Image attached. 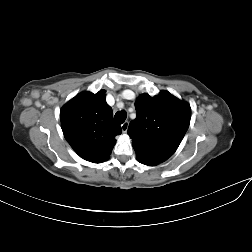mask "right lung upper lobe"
Returning <instances> with one entry per match:
<instances>
[{
	"label": "right lung upper lobe",
	"mask_w": 252,
	"mask_h": 252,
	"mask_svg": "<svg viewBox=\"0 0 252 252\" xmlns=\"http://www.w3.org/2000/svg\"><path fill=\"white\" fill-rule=\"evenodd\" d=\"M105 90L93 94L82 92L60 111L62 131L67 142L83 159L106 161L116 143L121 127L112 120V109L106 103Z\"/></svg>",
	"instance_id": "1"
}]
</instances>
